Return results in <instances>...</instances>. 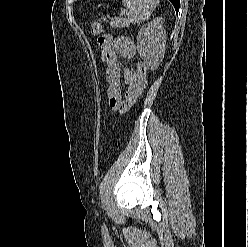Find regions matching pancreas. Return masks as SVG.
<instances>
[{
  "instance_id": "cf45deb5",
  "label": "pancreas",
  "mask_w": 248,
  "mask_h": 247,
  "mask_svg": "<svg viewBox=\"0 0 248 247\" xmlns=\"http://www.w3.org/2000/svg\"><path fill=\"white\" fill-rule=\"evenodd\" d=\"M128 25V22L123 18H115L111 21V26L114 28L127 27Z\"/></svg>"
}]
</instances>
